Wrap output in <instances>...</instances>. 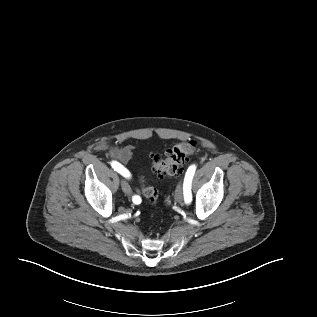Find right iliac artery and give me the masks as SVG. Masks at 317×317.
<instances>
[{
    "instance_id": "1",
    "label": "right iliac artery",
    "mask_w": 317,
    "mask_h": 317,
    "mask_svg": "<svg viewBox=\"0 0 317 317\" xmlns=\"http://www.w3.org/2000/svg\"><path fill=\"white\" fill-rule=\"evenodd\" d=\"M110 164H111L112 168L115 171H117L118 173H120L123 177L129 178L131 176L130 172L126 168H124L121 164H119L118 162L112 161ZM132 201L135 204H139L141 202V198L139 196H133Z\"/></svg>"
}]
</instances>
